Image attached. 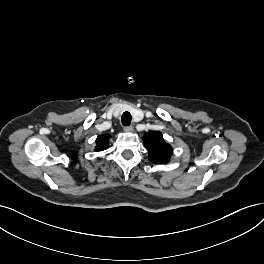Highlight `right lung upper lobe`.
<instances>
[{
	"label": "right lung upper lobe",
	"mask_w": 264,
	"mask_h": 264,
	"mask_svg": "<svg viewBox=\"0 0 264 264\" xmlns=\"http://www.w3.org/2000/svg\"><path fill=\"white\" fill-rule=\"evenodd\" d=\"M108 138L109 136L107 135L98 136L96 139L95 151H103L108 149L109 148Z\"/></svg>",
	"instance_id": "cb5924a9"
}]
</instances>
